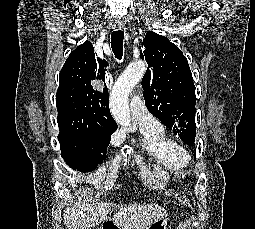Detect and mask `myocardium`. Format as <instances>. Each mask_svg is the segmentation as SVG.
Listing matches in <instances>:
<instances>
[{"instance_id":"1","label":"myocardium","mask_w":255,"mask_h":229,"mask_svg":"<svg viewBox=\"0 0 255 229\" xmlns=\"http://www.w3.org/2000/svg\"><path fill=\"white\" fill-rule=\"evenodd\" d=\"M169 150L180 163H188L189 155L181 145L172 142Z\"/></svg>"}]
</instances>
